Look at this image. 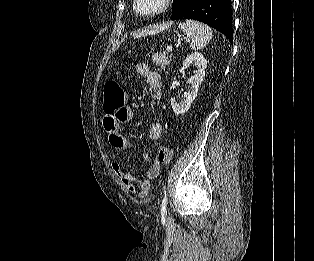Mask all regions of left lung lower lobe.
<instances>
[{
	"label": "left lung lower lobe",
	"mask_w": 314,
	"mask_h": 261,
	"mask_svg": "<svg viewBox=\"0 0 314 261\" xmlns=\"http://www.w3.org/2000/svg\"><path fill=\"white\" fill-rule=\"evenodd\" d=\"M231 14V0H184L171 19H193L204 22L233 42Z\"/></svg>",
	"instance_id": "0a47b994"
}]
</instances>
